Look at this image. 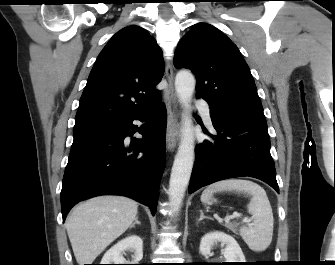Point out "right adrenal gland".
<instances>
[{
    "instance_id": "right-adrenal-gland-1",
    "label": "right adrenal gland",
    "mask_w": 335,
    "mask_h": 265,
    "mask_svg": "<svg viewBox=\"0 0 335 265\" xmlns=\"http://www.w3.org/2000/svg\"><path fill=\"white\" fill-rule=\"evenodd\" d=\"M135 224H138V225L141 224V223L138 221V217L135 218V221H134V223L130 226V228H134V227H135Z\"/></svg>"
}]
</instances>
